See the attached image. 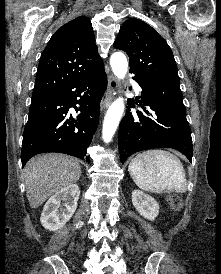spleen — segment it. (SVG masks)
Returning a JSON list of instances; mask_svg holds the SVG:
<instances>
[{
    "instance_id": "1",
    "label": "spleen",
    "mask_w": 221,
    "mask_h": 274,
    "mask_svg": "<svg viewBox=\"0 0 221 274\" xmlns=\"http://www.w3.org/2000/svg\"><path fill=\"white\" fill-rule=\"evenodd\" d=\"M128 171L135 184L150 193L187 190L186 174L180 160L164 150H148L131 160Z\"/></svg>"
}]
</instances>
